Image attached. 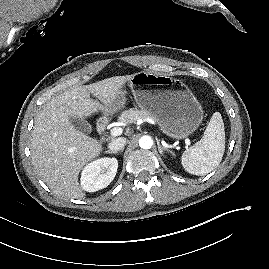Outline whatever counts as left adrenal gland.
Here are the masks:
<instances>
[{"label":"left adrenal gland","mask_w":269,"mask_h":269,"mask_svg":"<svg viewBox=\"0 0 269 269\" xmlns=\"http://www.w3.org/2000/svg\"><path fill=\"white\" fill-rule=\"evenodd\" d=\"M157 145H158V149H159V152H160V154H164V151H167L168 153H170V154H172L173 155V152L171 151V150H169V149H167V148H164V147H162L161 145H160V142L158 141V139H157Z\"/></svg>","instance_id":"1"}]
</instances>
